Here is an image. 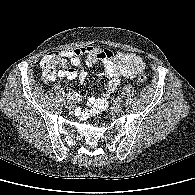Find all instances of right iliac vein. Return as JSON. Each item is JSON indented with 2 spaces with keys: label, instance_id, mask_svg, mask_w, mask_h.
Segmentation results:
<instances>
[{
  "label": "right iliac vein",
  "instance_id": "right-iliac-vein-1",
  "mask_svg": "<svg viewBox=\"0 0 195 195\" xmlns=\"http://www.w3.org/2000/svg\"><path fill=\"white\" fill-rule=\"evenodd\" d=\"M65 105L68 107V108H73L75 106L74 104V101L70 98V99H67L65 101Z\"/></svg>",
  "mask_w": 195,
  "mask_h": 195
}]
</instances>
